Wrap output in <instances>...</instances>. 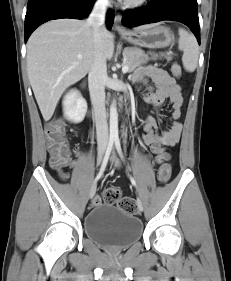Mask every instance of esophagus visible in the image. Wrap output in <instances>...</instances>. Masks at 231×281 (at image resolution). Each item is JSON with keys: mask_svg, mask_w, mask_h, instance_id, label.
Here are the masks:
<instances>
[{"mask_svg": "<svg viewBox=\"0 0 231 281\" xmlns=\"http://www.w3.org/2000/svg\"><path fill=\"white\" fill-rule=\"evenodd\" d=\"M121 19V15L116 13L114 18V29L119 33L126 32V29L121 25Z\"/></svg>", "mask_w": 231, "mask_h": 281, "instance_id": "34e87169", "label": "esophagus"}]
</instances>
